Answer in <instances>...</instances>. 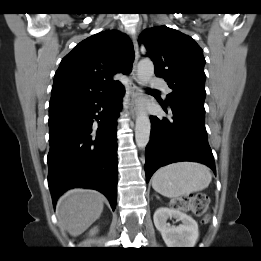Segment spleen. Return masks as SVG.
<instances>
[{
  "label": "spleen",
  "instance_id": "3e777b00",
  "mask_svg": "<svg viewBox=\"0 0 261 261\" xmlns=\"http://www.w3.org/2000/svg\"><path fill=\"white\" fill-rule=\"evenodd\" d=\"M211 180L212 174L207 166L178 162L157 170L153 175L152 187L165 197L176 198L207 188Z\"/></svg>",
  "mask_w": 261,
  "mask_h": 261
}]
</instances>
